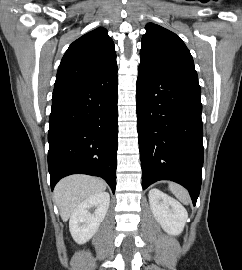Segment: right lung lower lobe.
Here are the masks:
<instances>
[{"instance_id": "right-lung-lower-lobe-1", "label": "right lung lower lobe", "mask_w": 242, "mask_h": 270, "mask_svg": "<svg viewBox=\"0 0 242 270\" xmlns=\"http://www.w3.org/2000/svg\"><path fill=\"white\" fill-rule=\"evenodd\" d=\"M117 65L68 90L55 93L48 131L51 189L63 177H102L116 188L118 135Z\"/></svg>"}]
</instances>
